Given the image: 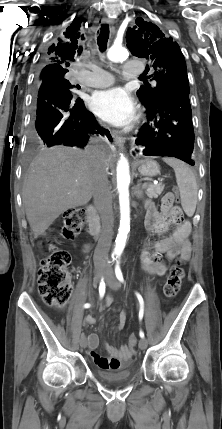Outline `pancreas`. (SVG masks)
Returning <instances> with one entry per match:
<instances>
[{
    "instance_id": "obj_1",
    "label": "pancreas",
    "mask_w": 222,
    "mask_h": 429,
    "mask_svg": "<svg viewBox=\"0 0 222 429\" xmlns=\"http://www.w3.org/2000/svg\"><path fill=\"white\" fill-rule=\"evenodd\" d=\"M146 188V194L150 198H157L164 189V186L162 184H147Z\"/></svg>"
}]
</instances>
